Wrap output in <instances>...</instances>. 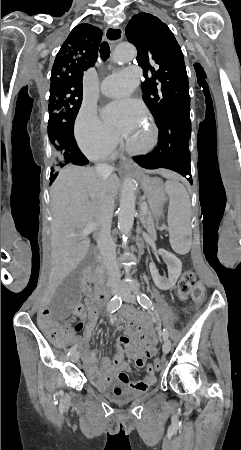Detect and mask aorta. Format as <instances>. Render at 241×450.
<instances>
[{
  "label": "aorta",
  "mask_w": 241,
  "mask_h": 450,
  "mask_svg": "<svg viewBox=\"0 0 241 450\" xmlns=\"http://www.w3.org/2000/svg\"><path fill=\"white\" fill-rule=\"evenodd\" d=\"M137 55L135 47L128 43L119 44L113 53V60L122 64L133 60ZM136 186L131 178H126L123 182L120 207L118 210V228L126 236L133 227L135 216Z\"/></svg>",
  "instance_id": "1"
}]
</instances>
